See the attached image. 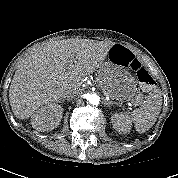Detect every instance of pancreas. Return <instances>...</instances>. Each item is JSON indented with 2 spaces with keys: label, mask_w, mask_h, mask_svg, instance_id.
<instances>
[{
  "label": "pancreas",
  "mask_w": 178,
  "mask_h": 178,
  "mask_svg": "<svg viewBox=\"0 0 178 178\" xmlns=\"http://www.w3.org/2000/svg\"><path fill=\"white\" fill-rule=\"evenodd\" d=\"M96 81H97L100 85H102V86H103V84L100 82V80H99V79H97ZM103 89L105 90L104 86H103ZM105 92H107V91L105 90Z\"/></svg>",
  "instance_id": "cf45deb5"
}]
</instances>
